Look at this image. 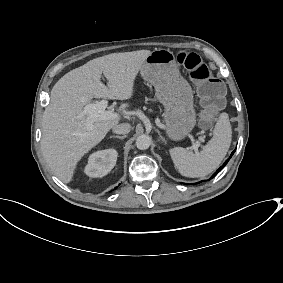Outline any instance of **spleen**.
<instances>
[{
	"instance_id": "spleen-1",
	"label": "spleen",
	"mask_w": 283,
	"mask_h": 283,
	"mask_svg": "<svg viewBox=\"0 0 283 283\" xmlns=\"http://www.w3.org/2000/svg\"><path fill=\"white\" fill-rule=\"evenodd\" d=\"M231 133L228 114L223 112L216 121L213 138L199 153L180 147L169 149L175 168L186 177H204L211 173L224 159L231 144Z\"/></svg>"
}]
</instances>
